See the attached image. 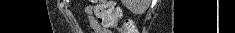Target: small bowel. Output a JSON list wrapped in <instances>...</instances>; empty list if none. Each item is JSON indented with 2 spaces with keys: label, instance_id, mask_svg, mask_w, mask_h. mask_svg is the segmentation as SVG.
I'll return each instance as SVG.
<instances>
[{
  "label": "small bowel",
  "instance_id": "1",
  "mask_svg": "<svg viewBox=\"0 0 235 33\" xmlns=\"http://www.w3.org/2000/svg\"><path fill=\"white\" fill-rule=\"evenodd\" d=\"M88 14L89 23L93 33H112L108 28L100 24L93 14V7L89 6L86 8Z\"/></svg>",
  "mask_w": 235,
  "mask_h": 33
}]
</instances>
